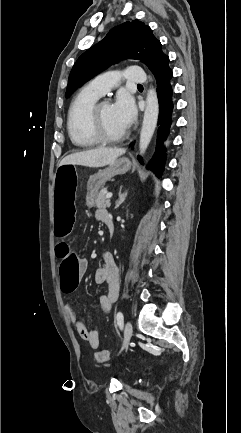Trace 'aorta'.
Segmentation results:
<instances>
[{
    "label": "aorta",
    "mask_w": 241,
    "mask_h": 433,
    "mask_svg": "<svg viewBox=\"0 0 241 433\" xmlns=\"http://www.w3.org/2000/svg\"><path fill=\"white\" fill-rule=\"evenodd\" d=\"M159 113L157 93L154 89H149L146 97V108L143 116V123L140 132L139 149L143 155L153 137Z\"/></svg>",
    "instance_id": "1"
}]
</instances>
